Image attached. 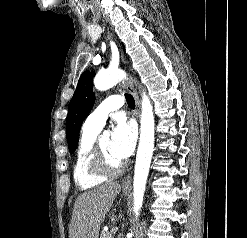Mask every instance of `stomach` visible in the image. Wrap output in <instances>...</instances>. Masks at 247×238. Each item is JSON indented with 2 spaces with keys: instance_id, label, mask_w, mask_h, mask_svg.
Returning <instances> with one entry per match:
<instances>
[{
  "instance_id": "obj_1",
  "label": "stomach",
  "mask_w": 247,
  "mask_h": 238,
  "mask_svg": "<svg viewBox=\"0 0 247 238\" xmlns=\"http://www.w3.org/2000/svg\"><path fill=\"white\" fill-rule=\"evenodd\" d=\"M123 193H124V195H127L128 192L124 189L123 190Z\"/></svg>"
}]
</instances>
